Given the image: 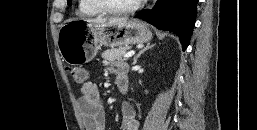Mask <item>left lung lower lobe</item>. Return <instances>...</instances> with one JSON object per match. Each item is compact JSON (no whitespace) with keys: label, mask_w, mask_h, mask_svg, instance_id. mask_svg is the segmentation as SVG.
Returning a JSON list of instances; mask_svg holds the SVG:
<instances>
[{"label":"left lung lower lobe","mask_w":257,"mask_h":130,"mask_svg":"<svg viewBox=\"0 0 257 130\" xmlns=\"http://www.w3.org/2000/svg\"><path fill=\"white\" fill-rule=\"evenodd\" d=\"M198 0H159L151 10L135 15L155 27L178 35L183 50L189 45L196 20Z\"/></svg>","instance_id":"left-lung-lower-lobe-1"}]
</instances>
